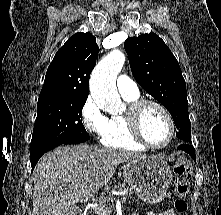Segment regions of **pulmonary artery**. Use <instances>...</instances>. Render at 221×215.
<instances>
[{
    "label": "pulmonary artery",
    "mask_w": 221,
    "mask_h": 215,
    "mask_svg": "<svg viewBox=\"0 0 221 215\" xmlns=\"http://www.w3.org/2000/svg\"><path fill=\"white\" fill-rule=\"evenodd\" d=\"M116 84L121 94L135 95L139 93L137 84L126 75H120Z\"/></svg>",
    "instance_id": "obj_1"
}]
</instances>
